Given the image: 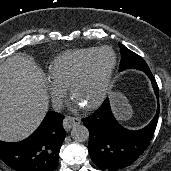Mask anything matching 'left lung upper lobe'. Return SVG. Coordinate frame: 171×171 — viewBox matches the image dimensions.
Returning <instances> with one entry per match:
<instances>
[{"label":"left lung upper lobe","instance_id":"1","mask_svg":"<svg viewBox=\"0 0 171 171\" xmlns=\"http://www.w3.org/2000/svg\"><path fill=\"white\" fill-rule=\"evenodd\" d=\"M119 47L121 49V62H120V70H125L129 68H135L144 71L145 73L150 72V69L144 59L132 52L124 45L119 43Z\"/></svg>","mask_w":171,"mask_h":171}]
</instances>
